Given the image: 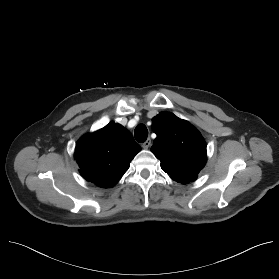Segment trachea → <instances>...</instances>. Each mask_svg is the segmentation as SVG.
<instances>
[{
	"instance_id": "3493384b",
	"label": "trachea",
	"mask_w": 279,
	"mask_h": 279,
	"mask_svg": "<svg viewBox=\"0 0 279 279\" xmlns=\"http://www.w3.org/2000/svg\"><path fill=\"white\" fill-rule=\"evenodd\" d=\"M134 135H135V139L139 143H143L147 140L148 130L143 124H140L135 128Z\"/></svg>"
}]
</instances>
